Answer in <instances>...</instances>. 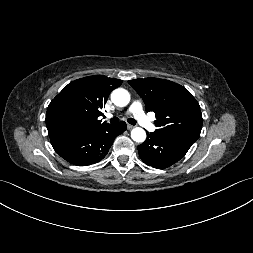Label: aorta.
<instances>
[{
    "mask_svg": "<svg viewBox=\"0 0 253 253\" xmlns=\"http://www.w3.org/2000/svg\"><path fill=\"white\" fill-rule=\"evenodd\" d=\"M111 100L116 106L124 107L130 101V94L123 88H117L111 93ZM131 138L136 142H144L146 132L144 129L136 127L131 131Z\"/></svg>",
    "mask_w": 253,
    "mask_h": 253,
    "instance_id": "762f6f07",
    "label": "aorta"
}]
</instances>
